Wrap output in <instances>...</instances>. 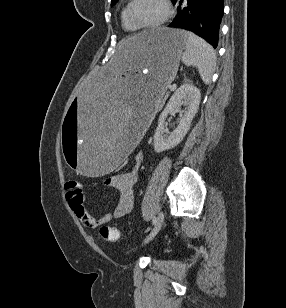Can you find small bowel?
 <instances>
[{
	"label": "small bowel",
	"instance_id": "c3829d8e",
	"mask_svg": "<svg viewBox=\"0 0 286 308\" xmlns=\"http://www.w3.org/2000/svg\"><path fill=\"white\" fill-rule=\"evenodd\" d=\"M144 160V155L138 152L134 157V164L129 171L122 172L106 179L105 184L119 191L120 196L118 202L110 213L95 218L84 205L81 186L78 190H67L66 200L72 211L80 219L82 225L88 229H96L113 219H117L131 212L133 208V189L138 179L140 166Z\"/></svg>",
	"mask_w": 286,
	"mask_h": 308
}]
</instances>
